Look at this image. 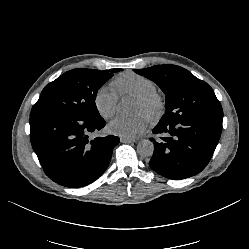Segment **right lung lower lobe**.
Instances as JSON below:
<instances>
[{
    "label": "right lung lower lobe",
    "mask_w": 249,
    "mask_h": 249,
    "mask_svg": "<svg viewBox=\"0 0 249 249\" xmlns=\"http://www.w3.org/2000/svg\"><path fill=\"white\" fill-rule=\"evenodd\" d=\"M102 117L82 118L67 113H46L30 117L32 147L45 174L66 187L94 182L107 169L117 136L89 135L105 126Z\"/></svg>",
    "instance_id": "right-lung-lower-lobe-1"
}]
</instances>
